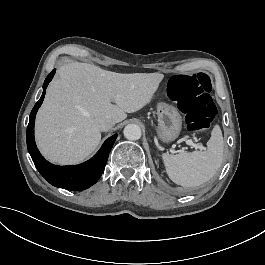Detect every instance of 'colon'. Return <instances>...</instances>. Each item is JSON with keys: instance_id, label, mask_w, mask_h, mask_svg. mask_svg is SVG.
Segmentation results:
<instances>
[{"instance_id": "5ec220e1", "label": "colon", "mask_w": 265, "mask_h": 265, "mask_svg": "<svg viewBox=\"0 0 265 265\" xmlns=\"http://www.w3.org/2000/svg\"><path fill=\"white\" fill-rule=\"evenodd\" d=\"M173 97L179 99L178 110L186 116L188 130L207 132L215 118L216 105L211 97L210 79L201 72L176 74L169 84Z\"/></svg>"}]
</instances>
